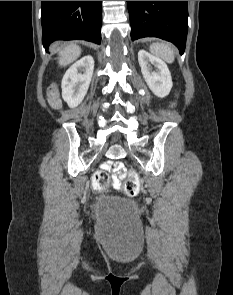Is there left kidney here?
Returning <instances> with one entry per match:
<instances>
[{"instance_id":"5707ae66","label":"left kidney","mask_w":233,"mask_h":295,"mask_svg":"<svg viewBox=\"0 0 233 295\" xmlns=\"http://www.w3.org/2000/svg\"><path fill=\"white\" fill-rule=\"evenodd\" d=\"M138 61L142 75L150 90L160 98L167 96L173 83L166 63L145 50L138 52ZM152 65L156 68V71H152Z\"/></svg>"}]
</instances>
